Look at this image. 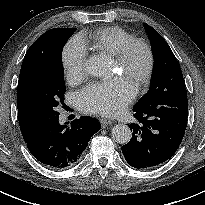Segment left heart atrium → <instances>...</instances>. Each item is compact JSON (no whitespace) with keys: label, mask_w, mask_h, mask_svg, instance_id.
<instances>
[{"label":"left heart atrium","mask_w":205,"mask_h":205,"mask_svg":"<svg viewBox=\"0 0 205 205\" xmlns=\"http://www.w3.org/2000/svg\"><path fill=\"white\" fill-rule=\"evenodd\" d=\"M136 95L135 84L127 77L118 76L90 83L78 93L77 104L85 113L115 116L120 114Z\"/></svg>","instance_id":"1"}]
</instances>
